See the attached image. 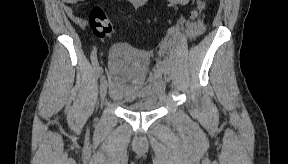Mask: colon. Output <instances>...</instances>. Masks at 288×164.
I'll return each instance as SVG.
<instances>
[{
  "instance_id": "5ec220e1",
  "label": "colon",
  "mask_w": 288,
  "mask_h": 164,
  "mask_svg": "<svg viewBox=\"0 0 288 164\" xmlns=\"http://www.w3.org/2000/svg\"><path fill=\"white\" fill-rule=\"evenodd\" d=\"M192 15H197V11H194ZM87 27L91 29L97 38L110 39L113 36V28L108 21V16L99 6H94L91 9L87 18Z\"/></svg>"
}]
</instances>
